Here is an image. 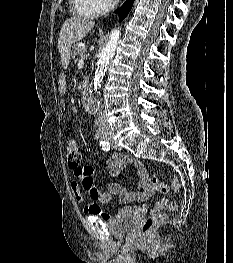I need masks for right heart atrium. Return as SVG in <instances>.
<instances>
[{"instance_id":"d8ad5b80","label":"right heart atrium","mask_w":233,"mask_h":263,"mask_svg":"<svg viewBox=\"0 0 233 263\" xmlns=\"http://www.w3.org/2000/svg\"><path fill=\"white\" fill-rule=\"evenodd\" d=\"M88 2L96 14H102L110 11L116 5L117 0H88Z\"/></svg>"}]
</instances>
